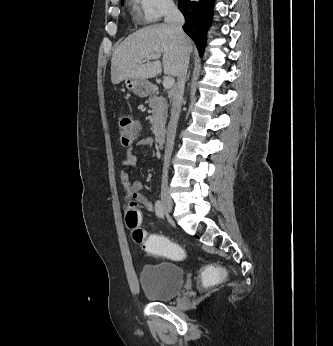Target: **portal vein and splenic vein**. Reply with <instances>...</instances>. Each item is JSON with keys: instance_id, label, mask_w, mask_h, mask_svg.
<instances>
[{"instance_id": "obj_1", "label": "portal vein and splenic vein", "mask_w": 333, "mask_h": 346, "mask_svg": "<svg viewBox=\"0 0 333 346\" xmlns=\"http://www.w3.org/2000/svg\"><path fill=\"white\" fill-rule=\"evenodd\" d=\"M160 58V55L158 54H154V55H151L149 57H147V59L151 60V59H159ZM174 78L171 77V76H168V77H165L164 80H163V87L165 89H171L173 86H174Z\"/></svg>"}]
</instances>
